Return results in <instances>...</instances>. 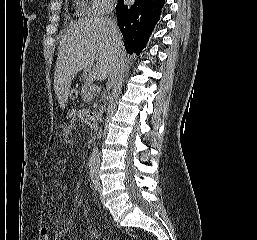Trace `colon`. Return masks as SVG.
Here are the masks:
<instances>
[{"label":"colon","mask_w":257,"mask_h":240,"mask_svg":"<svg viewBox=\"0 0 257 240\" xmlns=\"http://www.w3.org/2000/svg\"><path fill=\"white\" fill-rule=\"evenodd\" d=\"M70 98L72 99V100H76L77 99V97H78V91H77V89H72L71 91H70ZM41 238H42V240H50V237H49V232H48V229L46 228V227H43L42 229H41Z\"/></svg>","instance_id":"obj_1"}]
</instances>
